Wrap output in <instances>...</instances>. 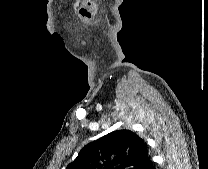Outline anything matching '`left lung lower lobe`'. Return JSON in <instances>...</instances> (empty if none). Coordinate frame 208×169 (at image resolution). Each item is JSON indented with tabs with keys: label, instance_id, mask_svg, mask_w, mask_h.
Returning a JSON list of instances; mask_svg holds the SVG:
<instances>
[{
	"label": "left lung lower lobe",
	"instance_id": "0a47b994",
	"mask_svg": "<svg viewBox=\"0 0 208 169\" xmlns=\"http://www.w3.org/2000/svg\"><path fill=\"white\" fill-rule=\"evenodd\" d=\"M142 169H155V168H154V164H153V162H152L150 156H148V158H147V160H146L144 166L142 167Z\"/></svg>",
	"mask_w": 208,
	"mask_h": 169
}]
</instances>
